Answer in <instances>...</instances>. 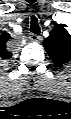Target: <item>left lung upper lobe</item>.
Returning <instances> with one entry per match:
<instances>
[{"label":"left lung upper lobe","instance_id":"1","mask_svg":"<svg viewBox=\"0 0 71 119\" xmlns=\"http://www.w3.org/2000/svg\"><path fill=\"white\" fill-rule=\"evenodd\" d=\"M66 25H56L43 45L53 63L60 67L71 61V35Z\"/></svg>","mask_w":71,"mask_h":119}]
</instances>
